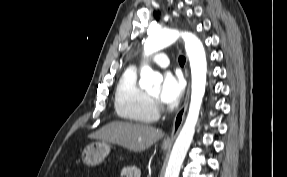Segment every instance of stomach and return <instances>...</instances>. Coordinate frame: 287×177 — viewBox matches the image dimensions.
I'll return each mask as SVG.
<instances>
[{
	"mask_svg": "<svg viewBox=\"0 0 287 177\" xmlns=\"http://www.w3.org/2000/svg\"><path fill=\"white\" fill-rule=\"evenodd\" d=\"M162 149H168V146H162ZM110 153V145L108 142H93L87 145L82 151V162L87 166H95L102 162Z\"/></svg>",
	"mask_w": 287,
	"mask_h": 177,
	"instance_id": "1",
	"label": "stomach"
}]
</instances>
